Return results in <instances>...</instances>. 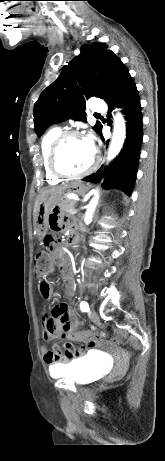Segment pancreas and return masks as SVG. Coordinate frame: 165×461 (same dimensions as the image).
Wrapping results in <instances>:
<instances>
[{
	"instance_id": "1",
	"label": "pancreas",
	"mask_w": 165,
	"mask_h": 461,
	"mask_svg": "<svg viewBox=\"0 0 165 461\" xmlns=\"http://www.w3.org/2000/svg\"><path fill=\"white\" fill-rule=\"evenodd\" d=\"M75 205H76V201L64 198L60 201L59 208H60V211L63 214H65V213H68L70 209H74Z\"/></svg>"
}]
</instances>
